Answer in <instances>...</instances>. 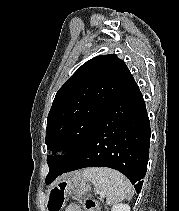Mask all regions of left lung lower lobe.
Here are the masks:
<instances>
[{"label":"left lung lower lobe","mask_w":179,"mask_h":211,"mask_svg":"<svg viewBox=\"0 0 179 211\" xmlns=\"http://www.w3.org/2000/svg\"><path fill=\"white\" fill-rule=\"evenodd\" d=\"M149 146L150 122L145 101L130 75L100 116L82 152L63 173L86 167L113 168L123 173L140 193ZM57 176L46 180V184Z\"/></svg>","instance_id":"1"}]
</instances>
